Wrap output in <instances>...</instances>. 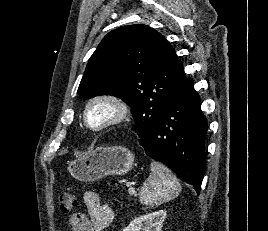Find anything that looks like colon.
<instances>
[{
	"label": "colon",
	"instance_id": "obj_1",
	"mask_svg": "<svg viewBox=\"0 0 268 231\" xmlns=\"http://www.w3.org/2000/svg\"><path fill=\"white\" fill-rule=\"evenodd\" d=\"M77 204V200L74 195L68 193H62L59 196V207L62 213H70Z\"/></svg>",
	"mask_w": 268,
	"mask_h": 231
}]
</instances>
